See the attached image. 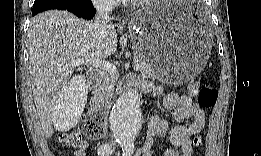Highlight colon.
<instances>
[{
	"mask_svg": "<svg viewBox=\"0 0 261 156\" xmlns=\"http://www.w3.org/2000/svg\"><path fill=\"white\" fill-rule=\"evenodd\" d=\"M188 92L191 96H196L198 105L203 109H210L215 106L218 91L212 84L200 86L199 82L194 80L188 85ZM85 134L90 138H100L105 134V127L99 114H92L85 122ZM60 141L71 148H80L83 144L82 133L79 129H72L60 135ZM202 137L196 136L192 142V149H198L202 146Z\"/></svg>",
	"mask_w": 261,
	"mask_h": 156,
	"instance_id": "1",
	"label": "colon"
}]
</instances>
